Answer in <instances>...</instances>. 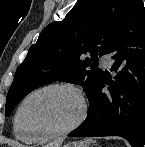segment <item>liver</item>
Returning a JSON list of instances; mask_svg holds the SVG:
<instances>
[{"label":"liver","mask_w":145,"mask_h":147,"mask_svg":"<svg viewBox=\"0 0 145 147\" xmlns=\"http://www.w3.org/2000/svg\"><path fill=\"white\" fill-rule=\"evenodd\" d=\"M63 142V139H58L54 142L47 144L45 147H60Z\"/></svg>","instance_id":"6515ba94"}]
</instances>
